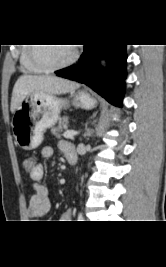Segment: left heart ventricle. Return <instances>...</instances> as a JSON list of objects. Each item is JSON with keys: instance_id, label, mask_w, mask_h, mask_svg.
<instances>
[{"instance_id": "b2bd125f", "label": "left heart ventricle", "mask_w": 166, "mask_h": 267, "mask_svg": "<svg viewBox=\"0 0 166 267\" xmlns=\"http://www.w3.org/2000/svg\"><path fill=\"white\" fill-rule=\"evenodd\" d=\"M72 53L73 47L70 46H42L39 48L40 57L52 65L66 62Z\"/></svg>"}]
</instances>
